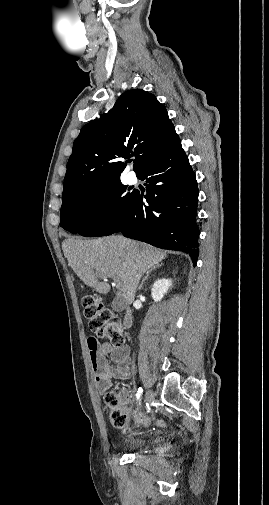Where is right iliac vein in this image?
I'll list each match as a JSON object with an SVG mask.
<instances>
[{
  "instance_id": "obj_1",
  "label": "right iliac vein",
  "mask_w": 269,
  "mask_h": 505,
  "mask_svg": "<svg viewBox=\"0 0 269 505\" xmlns=\"http://www.w3.org/2000/svg\"><path fill=\"white\" fill-rule=\"evenodd\" d=\"M154 399L153 393L151 390H147L145 393V402L147 404H151Z\"/></svg>"
}]
</instances>
